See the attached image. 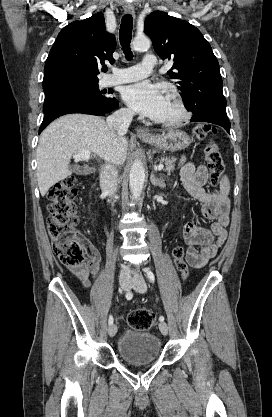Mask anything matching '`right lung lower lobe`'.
Masks as SVG:
<instances>
[{
	"instance_id": "1",
	"label": "right lung lower lobe",
	"mask_w": 272,
	"mask_h": 417,
	"mask_svg": "<svg viewBox=\"0 0 272 417\" xmlns=\"http://www.w3.org/2000/svg\"><path fill=\"white\" fill-rule=\"evenodd\" d=\"M119 103L115 98L109 97L107 101L91 102L83 100H71L59 103L45 112V117L40 126L39 133L54 119L59 116L69 114V113H82V114H91L97 116H103L106 113L112 112L118 107Z\"/></svg>"
}]
</instances>
